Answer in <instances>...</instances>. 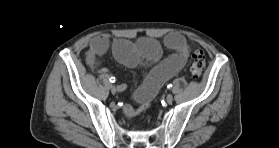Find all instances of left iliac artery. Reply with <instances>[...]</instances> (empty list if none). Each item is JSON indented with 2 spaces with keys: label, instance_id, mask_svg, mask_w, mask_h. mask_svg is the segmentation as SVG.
I'll use <instances>...</instances> for the list:
<instances>
[{
  "label": "left iliac artery",
  "instance_id": "obj_1",
  "mask_svg": "<svg viewBox=\"0 0 279 148\" xmlns=\"http://www.w3.org/2000/svg\"><path fill=\"white\" fill-rule=\"evenodd\" d=\"M172 87H173L172 84H169V85L167 86L168 89H172Z\"/></svg>",
  "mask_w": 279,
  "mask_h": 148
}]
</instances>
